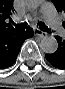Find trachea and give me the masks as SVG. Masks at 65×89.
Listing matches in <instances>:
<instances>
[{"label": "trachea", "instance_id": "1", "mask_svg": "<svg viewBox=\"0 0 65 89\" xmlns=\"http://www.w3.org/2000/svg\"><path fill=\"white\" fill-rule=\"evenodd\" d=\"M14 26L19 30H25L27 28V23L14 24ZM38 27L44 32L51 33V30L42 22L38 23Z\"/></svg>", "mask_w": 65, "mask_h": 89}]
</instances>
